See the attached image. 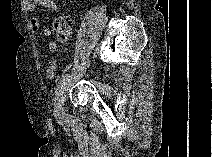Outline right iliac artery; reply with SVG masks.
Masks as SVG:
<instances>
[{
	"instance_id": "82829eb1",
	"label": "right iliac artery",
	"mask_w": 212,
	"mask_h": 157,
	"mask_svg": "<svg viewBox=\"0 0 212 157\" xmlns=\"http://www.w3.org/2000/svg\"><path fill=\"white\" fill-rule=\"evenodd\" d=\"M95 56V54H94ZM68 79V75H64L62 76V78L59 80L56 91H55V102H54V110L56 113H59L60 110V101H59V95H60V91L62 90L65 82Z\"/></svg>"
}]
</instances>
